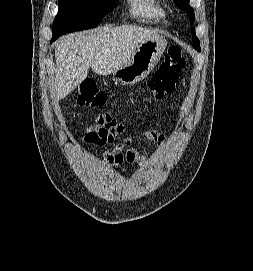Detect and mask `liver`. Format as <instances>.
I'll return each mask as SVG.
<instances>
[{"instance_id": "liver-1", "label": "liver", "mask_w": 253, "mask_h": 271, "mask_svg": "<svg viewBox=\"0 0 253 271\" xmlns=\"http://www.w3.org/2000/svg\"><path fill=\"white\" fill-rule=\"evenodd\" d=\"M158 37L156 31L122 25L60 38L55 48V99L60 100L72 92L87 77L89 67L99 75L111 74L129 61L141 42Z\"/></svg>"}]
</instances>
